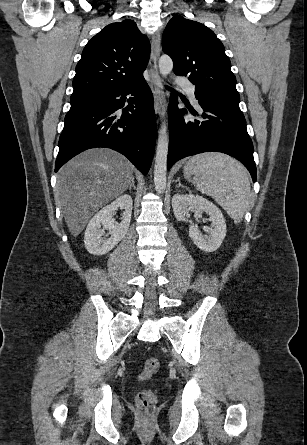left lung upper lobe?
Returning <instances> with one entry per match:
<instances>
[{"mask_svg":"<svg viewBox=\"0 0 307 445\" xmlns=\"http://www.w3.org/2000/svg\"><path fill=\"white\" fill-rule=\"evenodd\" d=\"M162 48L174 62V73L189 75L196 86L197 100L239 107L231 62L212 30L199 22L174 16L163 33Z\"/></svg>","mask_w":307,"mask_h":445,"instance_id":"5c2ea615","label":"left lung upper lobe"}]
</instances>
